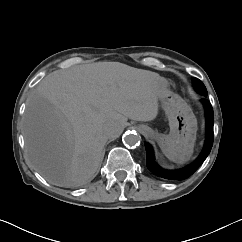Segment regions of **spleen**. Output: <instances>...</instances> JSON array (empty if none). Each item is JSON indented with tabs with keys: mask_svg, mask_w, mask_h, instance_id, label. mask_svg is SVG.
Instances as JSON below:
<instances>
[{
	"mask_svg": "<svg viewBox=\"0 0 242 242\" xmlns=\"http://www.w3.org/2000/svg\"><path fill=\"white\" fill-rule=\"evenodd\" d=\"M162 151L165 154V156L173 162L182 163L186 160V158L171 150L162 149Z\"/></svg>",
	"mask_w": 242,
	"mask_h": 242,
	"instance_id": "3e777b00",
	"label": "spleen"
}]
</instances>
